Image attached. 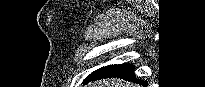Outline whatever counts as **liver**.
Here are the masks:
<instances>
[{"label": "liver", "mask_w": 205, "mask_h": 87, "mask_svg": "<svg viewBox=\"0 0 205 87\" xmlns=\"http://www.w3.org/2000/svg\"><path fill=\"white\" fill-rule=\"evenodd\" d=\"M87 87H138V85L119 79H106L90 83Z\"/></svg>", "instance_id": "6515ba94"}]
</instances>
